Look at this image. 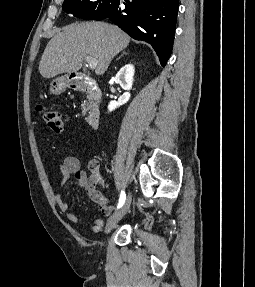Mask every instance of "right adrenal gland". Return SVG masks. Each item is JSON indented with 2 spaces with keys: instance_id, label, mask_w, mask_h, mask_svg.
<instances>
[{
  "instance_id": "1",
  "label": "right adrenal gland",
  "mask_w": 255,
  "mask_h": 287,
  "mask_svg": "<svg viewBox=\"0 0 255 287\" xmlns=\"http://www.w3.org/2000/svg\"><path fill=\"white\" fill-rule=\"evenodd\" d=\"M122 56H127V52H123V54H121V56H119V58H117V60H120V58H122Z\"/></svg>"
}]
</instances>
